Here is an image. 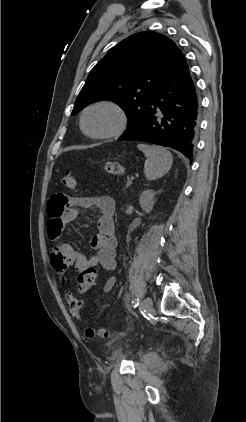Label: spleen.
Instances as JSON below:
<instances>
[{
	"instance_id": "1",
	"label": "spleen",
	"mask_w": 246,
	"mask_h": 422,
	"mask_svg": "<svg viewBox=\"0 0 246 422\" xmlns=\"http://www.w3.org/2000/svg\"><path fill=\"white\" fill-rule=\"evenodd\" d=\"M137 147L147 158L144 164L146 179L161 178L171 169L173 158L166 148L148 144H138Z\"/></svg>"
}]
</instances>
